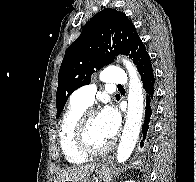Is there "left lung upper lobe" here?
Returning a JSON list of instances; mask_svg holds the SVG:
<instances>
[{
	"label": "left lung upper lobe",
	"instance_id": "5c2ea615",
	"mask_svg": "<svg viewBox=\"0 0 196 182\" xmlns=\"http://www.w3.org/2000/svg\"><path fill=\"white\" fill-rule=\"evenodd\" d=\"M119 53L132 58L137 68L141 59L148 55L128 17L121 11L108 8L91 18L65 52L58 76L57 118L70 94L89 84L94 69L112 63Z\"/></svg>",
	"mask_w": 196,
	"mask_h": 182
}]
</instances>
